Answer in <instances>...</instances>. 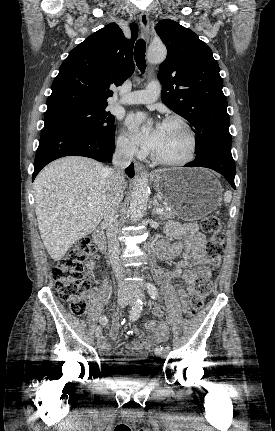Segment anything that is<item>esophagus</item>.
Masks as SVG:
<instances>
[{"label": "esophagus", "instance_id": "obj_1", "mask_svg": "<svg viewBox=\"0 0 275 431\" xmlns=\"http://www.w3.org/2000/svg\"><path fill=\"white\" fill-rule=\"evenodd\" d=\"M139 21H140V26L142 29L143 37H144L145 41L148 42L149 38H150V24H149L148 14L144 11L140 12ZM135 171L138 174L149 175V173L146 171L144 165L141 164L140 162H135Z\"/></svg>", "mask_w": 275, "mask_h": 431}]
</instances>
